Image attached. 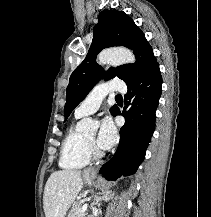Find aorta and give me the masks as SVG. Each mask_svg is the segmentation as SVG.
Wrapping results in <instances>:
<instances>
[{
	"label": "aorta",
	"instance_id": "1",
	"mask_svg": "<svg viewBox=\"0 0 211 217\" xmlns=\"http://www.w3.org/2000/svg\"><path fill=\"white\" fill-rule=\"evenodd\" d=\"M97 61L99 64L110 63L113 65H120L126 63H134L136 61L134 54L124 48H117L112 50L102 51L98 57ZM91 127V120L85 118L80 123V129L83 131L89 130Z\"/></svg>",
	"mask_w": 211,
	"mask_h": 217
}]
</instances>
